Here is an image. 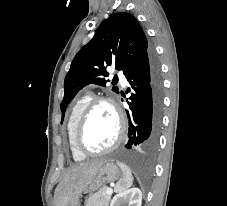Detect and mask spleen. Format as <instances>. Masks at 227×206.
<instances>
[{
	"mask_svg": "<svg viewBox=\"0 0 227 206\" xmlns=\"http://www.w3.org/2000/svg\"><path fill=\"white\" fill-rule=\"evenodd\" d=\"M117 164L121 168L123 176L116 184L115 190L116 192H122L133 184V176L130 168L127 165L121 162H117Z\"/></svg>",
	"mask_w": 227,
	"mask_h": 206,
	"instance_id": "spleen-1",
	"label": "spleen"
}]
</instances>
